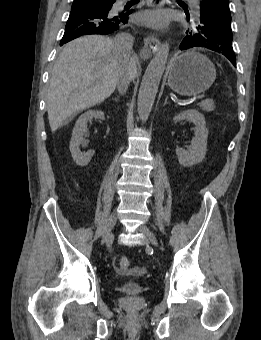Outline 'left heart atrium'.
<instances>
[{"label":"left heart atrium","mask_w":261,"mask_h":340,"mask_svg":"<svg viewBox=\"0 0 261 340\" xmlns=\"http://www.w3.org/2000/svg\"><path fill=\"white\" fill-rule=\"evenodd\" d=\"M168 14L164 10L146 11L141 15V21L153 28H163L168 23Z\"/></svg>","instance_id":"1"}]
</instances>
